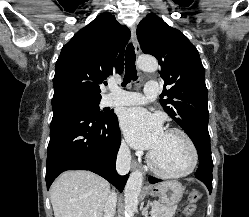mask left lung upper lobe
Instances as JSON below:
<instances>
[{
  "label": "left lung upper lobe",
  "instance_id": "left-lung-upper-lobe-1",
  "mask_svg": "<svg viewBox=\"0 0 249 217\" xmlns=\"http://www.w3.org/2000/svg\"><path fill=\"white\" fill-rule=\"evenodd\" d=\"M137 37L142 51L157 58L161 78L165 87L169 86L160 95L165 112L193 143L201 132L209 135L205 69L196 47L155 14H148L139 23Z\"/></svg>",
  "mask_w": 249,
  "mask_h": 217
}]
</instances>
